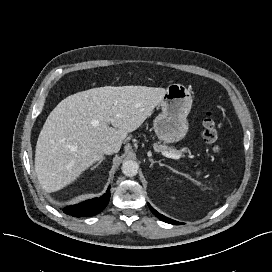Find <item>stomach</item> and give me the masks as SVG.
Listing matches in <instances>:
<instances>
[{"instance_id": "stomach-1", "label": "stomach", "mask_w": 272, "mask_h": 272, "mask_svg": "<svg viewBox=\"0 0 272 272\" xmlns=\"http://www.w3.org/2000/svg\"><path fill=\"white\" fill-rule=\"evenodd\" d=\"M191 106L192 96L186 86L175 83L168 86L159 103L161 113L153 121V130L159 140L174 143L186 136Z\"/></svg>"}]
</instances>
